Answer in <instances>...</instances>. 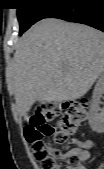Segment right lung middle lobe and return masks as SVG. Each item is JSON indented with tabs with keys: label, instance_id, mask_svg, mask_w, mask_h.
I'll use <instances>...</instances> for the list:
<instances>
[{
	"label": "right lung middle lobe",
	"instance_id": "right-lung-middle-lobe-1",
	"mask_svg": "<svg viewBox=\"0 0 104 169\" xmlns=\"http://www.w3.org/2000/svg\"><path fill=\"white\" fill-rule=\"evenodd\" d=\"M67 0H16L17 17L20 24L19 35H22L31 25L46 18L59 5Z\"/></svg>",
	"mask_w": 104,
	"mask_h": 169
}]
</instances>
